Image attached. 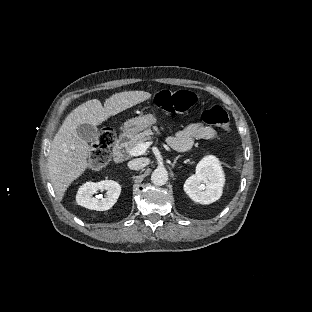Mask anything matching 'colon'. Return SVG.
Segmentation results:
<instances>
[{
	"label": "colon",
	"instance_id": "obj_1",
	"mask_svg": "<svg viewBox=\"0 0 312 312\" xmlns=\"http://www.w3.org/2000/svg\"><path fill=\"white\" fill-rule=\"evenodd\" d=\"M195 102L191 91L180 90L171 92L164 90L159 92L156 98V105L163 111L172 114L185 113ZM203 121L215 126L227 134L231 133L229 116L220 106H214L202 113ZM115 141V132L109 127H103L99 130L96 141L89 154L91 165L99 167L105 165L110 160L111 147Z\"/></svg>",
	"mask_w": 312,
	"mask_h": 312
}]
</instances>
